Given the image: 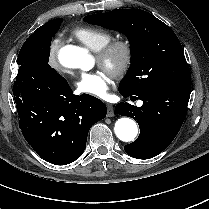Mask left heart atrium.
<instances>
[{"instance_id": "left-heart-atrium-1", "label": "left heart atrium", "mask_w": 209, "mask_h": 209, "mask_svg": "<svg viewBox=\"0 0 209 209\" xmlns=\"http://www.w3.org/2000/svg\"><path fill=\"white\" fill-rule=\"evenodd\" d=\"M109 85V78L101 72L81 73L75 82L79 93L100 99L106 96Z\"/></svg>"}]
</instances>
